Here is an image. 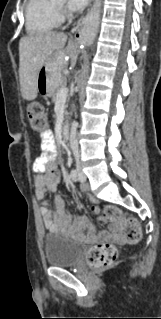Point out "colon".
<instances>
[{
  "label": "colon",
  "mask_w": 161,
  "mask_h": 319,
  "mask_svg": "<svg viewBox=\"0 0 161 319\" xmlns=\"http://www.w3.org/2000/svg\"><path fill=\"white\" fill-rule=\"evenodd\" d=\"M27 116L31 127L40 133L50 129L48 120L44 115L42 105L32 103L27 107ZM53 145V144H49ZM60 164H63L61 161ZM104 218L118 223L123 228L124 239L128 243L140 240L141 230L138 221L132 217H121L115 207H107L102 211ZM118 257V250L110 243H98L87 252V262L92 268H106L114 265Z\"/></svg>",
  "instance_id": "colon-1"
}]
</instances>
